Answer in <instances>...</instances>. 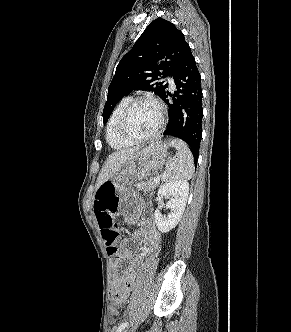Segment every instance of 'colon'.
Instances as JSON below:
<instances>
[{"label":"colon","mask_w":291,"mask_h":332,"mask_svg":"<svg viewBox=\"0 0 291 332\" xmlns=\"http://www.w3.org/2000/svg\"><path fill=\"white\" fill-rule=\"evenodd\" d=\"M95 207L102 238L107 247V252L112 258H118L117 239L119 232L115 220L117 203L113 189L102 190L95 199ZM117 308L110 309L111 319L117 318Z\"/></svg>","instance_id":"obj_1"}]
</instances>
